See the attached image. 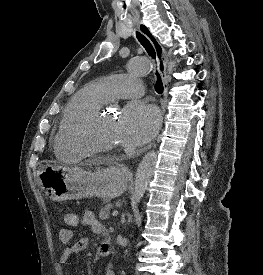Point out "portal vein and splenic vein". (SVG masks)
Listing matches in <instances>:
<instances>
[{"label":"portal vein and splenic vein","instance_id":"18ae733b","mask_svg":"<svg viewBox=\"0 0 263 275\" xmlns=\"http://www.w3.org/2000/svg\"><path fill=\"white\" fill-rule=\"evenodd\" d=\"M118 215V210H114L113 212H112V216H117Z\"/></svg>","mask_w":263,"mask_h":275}]
</instances>
